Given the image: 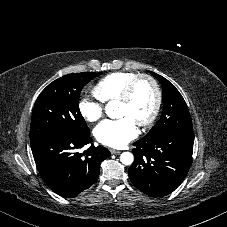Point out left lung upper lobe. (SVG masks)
Segmentation results:
<instances>
[{"mask_svg": "<svg viewBox=\"0 0 227 227\" xmlns=\"http://www.w3.org/2000/svg\"><path fill=\"white\" fill-rule=\"evenodd\" d=\"M161 83L163 90V110L159 120L146 136L140 140L149 141L162 136L193 132L188 107L176 87L164 77L149 71Z\"/></svg>", "mask_w": 227, "mask_h": 227, "instance_id": "obj_1", "label": "left lung upper lobe"}]
</instances>
